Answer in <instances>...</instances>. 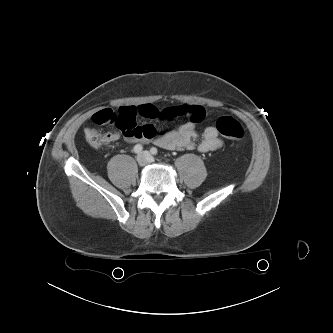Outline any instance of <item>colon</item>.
I'll list each match as a JSON object with an SVG mask.
<instances>
[{"label": "colon", "mask_w": 333, "mask_h": 333, "mask_svg": "<svg viewBox=\"0 0 333 333\" xmlns=\"http://www.w3.org/2000/svg\"><path fill=\"white\" fill-rule=\"evenodd\" d=\"M136 110L133 107L121 108L119 111L104 109L95 113L92 120L97 125H110L120 131H132L136 128ZM216 129L231 140H242L245 135L243 126L233 117L221 116L216 121ZM85 138L93 148H100L109 143L107 133L97 128H86Z\"/></svg>", "instance_id": "1"}]
</instances>
